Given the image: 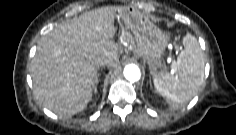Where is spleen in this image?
<instances>
[{
	"instance_id": "3e777b00",
	"label": "spleen",
	"mask_w": 236,
	"mask_h": 135,
	"mask_svg": "<svg viewBox=\"0 0 236 135\" xmlns=\"http://www.w3.org/2000/svg\"><path fill=\"white\" fill-rule=\"evenodd\" d=\"M176 74L162 71L153 78L156 90L168 101L185 103L199 91L204 81L205 59L198 40L191 34L183 39Z\"/></svg>"
}]
</instances>
